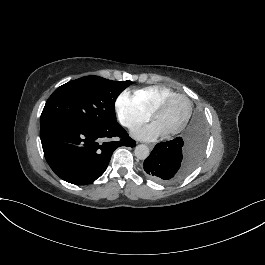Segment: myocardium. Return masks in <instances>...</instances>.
Listing matches in <instances>:
<instances>
[{"label": "myocardium", "instance_id": "myocardium-1", "mask_svg": "<svg viewBox=\"0 0 265 265\" xmlns=\"http://www.w3.org/2000/svg\"><path fill=\"white\" fill-rule=\"evenodd\" d=\"M173 98H180L184 101L185 103V112H184V116L181 120V122L176 125L174 128L170 129L167 132H164L165 135H173L176 133L181 132L187 125L190 116H191V112H192V105L190 100L179 93H170L168 95H166L165 97L161 98L154 106L153 110H152V120L155 121L156 115L158 113V111L163 108L171 99Z\"/></svg>", "mask_w": 265, "mask_h": 265}]
</instances>
